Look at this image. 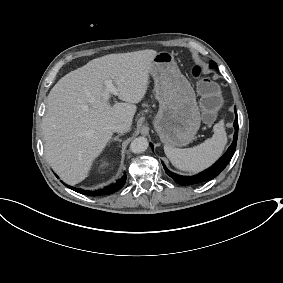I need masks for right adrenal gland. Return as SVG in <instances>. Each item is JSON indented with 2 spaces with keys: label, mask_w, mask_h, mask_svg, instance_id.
I'll list each match as a JSON object with an SVG mask.
<instances>
[{
  "label": "right adrenal gland",
  "mask_w": 283,
  "mask_h": 283,
  "mask_svg": "<svg viewBox=\"0 0 283 283\" xmlns=\"http://www.w3.org/2000/svg\"><path fill=\"white\" fill-rule=\"evenodd\" d=\"M121 135H123V133L118 134L116 137L113 138V140L122 142V140L119 139V137H120Z\"/></svg>",
  "instance_id": "obj_1"
}]
</instances>
